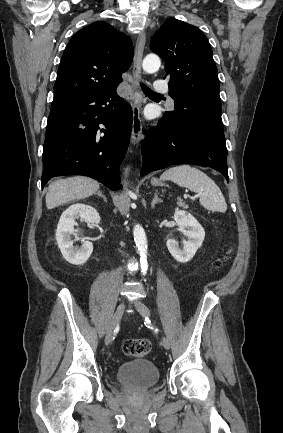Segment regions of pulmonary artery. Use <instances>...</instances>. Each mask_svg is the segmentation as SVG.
Wrapping results in <instances>:
<instances>
[{"mask_svg":"<svg viewBox=\"0 0 283 433\" xmlns=\"http://www.w3.org/2000/svg\"><path fill=\"white\" fill-rule=\"evenodd\" d=\"M169 86L167 83H164V81L161 78H158L155 83L152 85L153 92H161L162 95L168 94Z\"/></svg>","mask_w":283,"mask_h":433,"instance_id":"e3ab8cb5","label":"pulmonary artery"}]
</instances>
